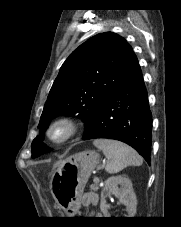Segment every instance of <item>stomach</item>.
<instances>
[{
    "mask_svg": "<svg viewBox=\"0 0 181 227\" xmlns=\"http://www.w3.org/2000/svg\"><path fill=\"white\" fill-rule=\"evenodd\" d=\"M99 159L95 151L79 152L65 159L53 172L49 183L50 192L67 214L77 212L80 197Z\"/></svg>",
    "mask_w": 181,
    "mask_h": 227,
    "instance_id": "stomach-1",
    "label": "stomach"
}]
</instances>
